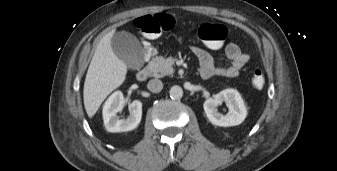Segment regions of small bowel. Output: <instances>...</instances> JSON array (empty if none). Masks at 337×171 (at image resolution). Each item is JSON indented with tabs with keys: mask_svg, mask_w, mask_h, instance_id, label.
Wrapping results in <instances>:
<instances>
[{
	"mask_svg": "<svg viewBox=\"0 0 337 171\" xmlns=\"http://www.w3.org/2000/svg\"><path fill=\"white\" fill-rule=\"evenodd\" d=\"M192 52L199 61V72L203 79H210L214 76L227 78L237 77L242 68L249 61V55L242 52L239 46L235 43H229L225 46V54L230 61V64L225 67H217L212 55L203 48L193 47Z\"/></svg>",
	"mask_w": 337,
	"mask_h": 171,
	"instance_id": "small-bowel-1",
	"label": "small bowel"
}]
</instances>
